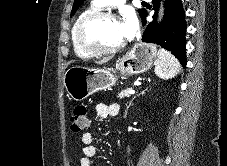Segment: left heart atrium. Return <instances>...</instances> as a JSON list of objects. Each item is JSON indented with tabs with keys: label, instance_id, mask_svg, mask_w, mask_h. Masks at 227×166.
I'll list each match as a JSON object with an SVG mask.
<instances>
[{
	"label": "left heart atrium",
	"instance_id": "obj_1",
	"mask_svg": "<svg viewBox=\"0 0 227 166\" xmlns=\"http://www.w3.org/2000/svg\"><path fill=\"white\" fill-rule=\"evenodd\" d=\"M138 28V22L134 14H129L123 22V30L126 38L132 37Z\"/></svg>",
	"mask_w": 227,
	"mask_h": 166
}]
</instances>
